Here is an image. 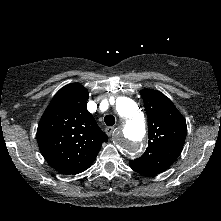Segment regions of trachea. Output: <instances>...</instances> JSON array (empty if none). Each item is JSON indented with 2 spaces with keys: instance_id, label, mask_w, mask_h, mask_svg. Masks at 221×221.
<instances>
[{
  "instance_id": "3493384b",
  "label": "trachea",
  "mask_w": 221,
  "mask_h": 221,
  "mask_svg": "<svg viewBox=\"0 0 221 221\" xmlns=\"http://www.w3.org/2000/svg\"><path fill=\"white\" fill-rule=\"evenodd\" d=\"M104 122L106 123V125L112 126L115 124V117L113 115H106L104 117Z\"/></svg>"
}]
</instances>
